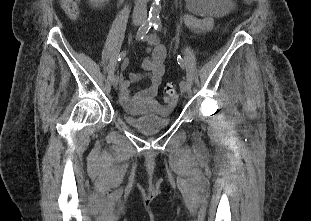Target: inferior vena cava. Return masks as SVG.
<instances>
[{"label": "inferior vena cava", "mask_w": 311, "mask_h": 221, "mask_svg": "<svg viewBox=\"0 0 311 221\" xmlns=\"http://www.w3.org/2000/svg\"><path fill=\"white\" fill-rule=\"evenodd\" d=\"M135 14H141V16H146V14H147V0H135L133 16H135Z\"/></svg>", "instance_id": "1"}]
</instances>
